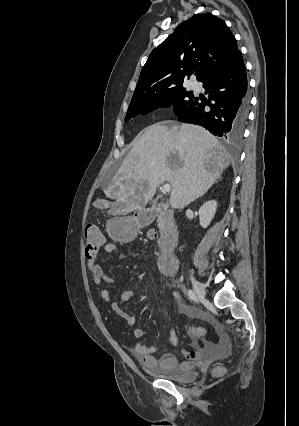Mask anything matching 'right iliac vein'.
<instances>
[{
	"mask_svg": "<svg viewBox=\"0 0 299 426\" xmlns=\"http://www.w3.org/2000/svg\"><path fill=\"white\" fill-rule=\"evenodd\" d=\"M191 281L193 285V289L195 294L199 300H203L205 298L206 290L203 283L198 281L195 277L191 275Z\"/></svg>",
	"mask_w": 299,
	"mask_h": 426,
	"instance_id": "right-iliac-vein-1",
	"label": "right iliac vein"
}]
</instances>
